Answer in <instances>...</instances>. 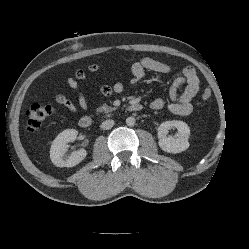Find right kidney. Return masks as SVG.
<instances>
[{
  "instance_id": "right-kidney-1",
  "label": "right kidney",
  "mask_w": 249,
  "mask_h": 249,
  "mask_svg": "<svg viewBox=\"0 0 249 249\" xmlns=\"http://www.w3.org/2000/svg\"><path fill=\"white\" fill-rule=\"evenodd\" d=\"M78 131L75 129H66L54 139L50 149V159L57 167H73L79 164L87 155L85 149L74 151L70 156L65 157L67 151L66 143L76 140Z\"/></svg>"
}]
</instances>
